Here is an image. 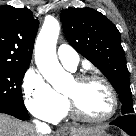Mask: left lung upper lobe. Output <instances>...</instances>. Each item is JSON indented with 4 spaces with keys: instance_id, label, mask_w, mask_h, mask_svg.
<instances>
[{
    "instance_id": "1",
    "label": "left lung upper lobe",
    "mask_w": 136,
    "mask_h": 136,
    "mask_svg": "<svg viewBox=\"0 0 136 136\" xmlns=\"http://www.w3.org/2000/svg\"><path fill=\"white\" fill-rule=\"evenodd\" d=\"M60 19L71 46L91 61L119 94L122 115L133 114L129 73L116 26L91 8L62 10Z\"/></svg>"
}]
</instances>
